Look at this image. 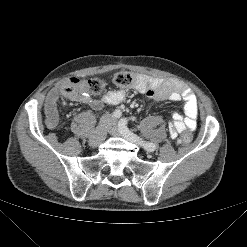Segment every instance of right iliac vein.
Returning a JSON list of instances; mask_svg holds the SVG:
<instances>
[{
    "label": "right iliac vein",
    "instance_id": "obj_1",
    "mask_svg": "<svg viewBox=\"0 0 247 247\" xmlns=\"http://www.w3.org/2000/svg\"><path fill=\"white\" fill-rule=\"evenodd\" d=\"M109 124H110V117L108 115L102 117L94 134L89 138V144L91 146L95 147L99 145L105 139L106 131H107Z\"/></svg>",
    "mask_w": 247,
    "mask_h": 247
}]
</instances>
